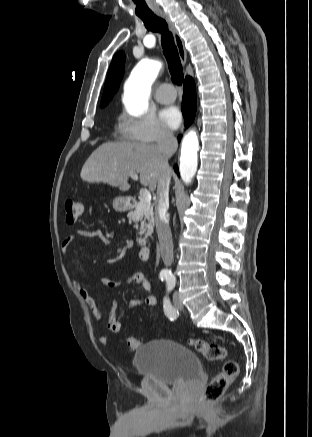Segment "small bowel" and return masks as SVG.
I'll use <instances>...</instances> for the list:
<instances>
[{
	"mask_svg": "<svg viewBox=\"0 0 312 437\" xmlns=\"http://www.w3.org/2000/svg\"><path fill=\"white\" fill-rule=\"evenodd\" d=\"M83 237H99L103 242L105 243L108 242V239L98 230H77L69 234L62 241V245H61L62 252L66 253L69 246L75 239L83 238ZM99 283L106 288L118 287L120 285H123L124 283H132L136 286L141 287L144 293L143 299L131 300L127 305L128 310H132L144 305L153 306L156 303V296L153 292L151 283L143 273H135L130 277H128L126 280L100 279ZM76 289L79 295L81 296V298L85 301V303L89 307L93 317L96 320H101L102 318L101 310L94 297L90 294L88 285L85 283H78L76 285ZM106 328L110 333L113 334L119 333L122 329L121 322L117 316V303L115 301H112L111 303L110 311L106 320ZM99 339L102 344L108 343V338L106 335H101Z\"/></svg>",
	"mask_w": 312,
	"mask_h": 437,
	"instance_id": "obj_1",
	"label": "small bowel"
}]
</instances>
